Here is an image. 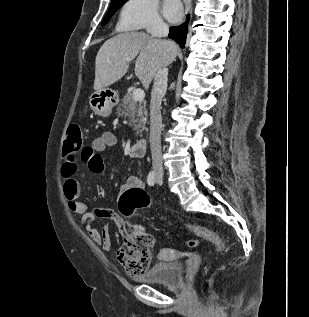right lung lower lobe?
Instances as JSON below:
<instances>
[{
    "label": "right lung lower lobe",
    "instance_id": "obj_1",
    "mask_svg": "<svg viewBox=\"0 0 309 317\" xmlns=\"http://www.w3.org/2000/svg\"><path fill=\"white\" fill-rule=\"evenodd\" d=\"M190 20V15H187L186 21L180 26L170 27L169 38L175 40L180 47L184 48L186 42V34L188 32V23Z\"/></svg>",
    "mask_w": 309,
    "mask_h": 317
}]
</instances>
